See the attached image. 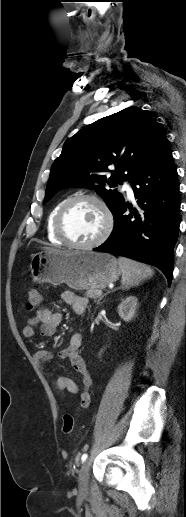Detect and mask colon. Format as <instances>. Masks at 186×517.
I'll use <instances>...</instances> for the list:
<instances>
[{
  "mask_svg": "<svg viewBox=\"0 0 186 517\" xmlns=\"http://www.w3.org/2000/svg\"><path fill=\"white\" fill-rule=\"evenodd\" d=\"M42 305V297L40 293L32 289L29 291L27 300H26V308L29 311H33L38 309ZM74 417L71 414H65L63 417V425L62 430L64 434H70L74 429Z\"/></svg>",
  "mask_w": 186,
  "mask_h": 517,
  "instance_id": "5ec220e1",
  "label": "colon"
}]
</instances>
